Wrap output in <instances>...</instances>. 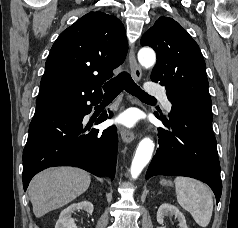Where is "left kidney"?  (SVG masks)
<instances>
[{
	"label": "left kidney",
	"instance_id": "obj_1",
	"mask_svg": "<svg viewBox=\"0 0 238 228\" xmlns=\"http://www.w3.org/2000/svg\"><path fill=\"white\" fill-rule=\"evenodd\" d=\"M168 215H170V216L174 215L175 218L178 219L179 228H188L184 215L178 210L177 207H175L174 205H172L170 203H163L159 207V209L157 211V222L160 225H163L164 218Z\"/></svg>",
	"mask_w": 238,
	"mask_h": 228
}]
</instances>
